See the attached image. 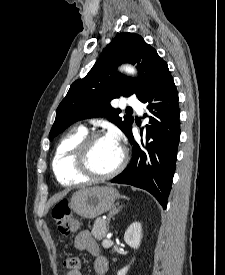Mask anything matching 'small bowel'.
<instances>
[{"label":"small bowel","instance_id":"obj_1","mask_svg":"<svg viewBox=\"0 0 225 275\" xmlns=\"http://www.w3.org/2000/svg\"><path fill=\"white\" fill-rule=\"evenodd\" d=\"M74 246L77 250L85 251L94 257L93 271L95 275H105L108 269V261L105 257L99 256V249L96 241L88 231H81L74 239ZM67 275H82L80 271H69Z\"/></svg>","mask_w":225,"mask_h":275}]
</instances>
